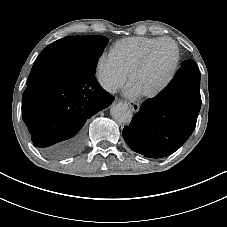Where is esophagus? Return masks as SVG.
<instances>
[{
    "instance_id": "obj_1",
    "label": "esophagus",
    "mask_w": 227,
    "mask_h": 227,
    "mask_svg": "<svg viewBox=\"0 0 227 227\" xmlns=\"http://www.w3.org/2000/svg\"><path fill=\"white\" fill-rule=\"evenodd\" d=\"M128 105H129V107L131 108V110L133 111V112H138L139 111V108H140V105L138 104V103H136V102H134V101H129L128 102Z\"/></svg>"
}]
</instances>
